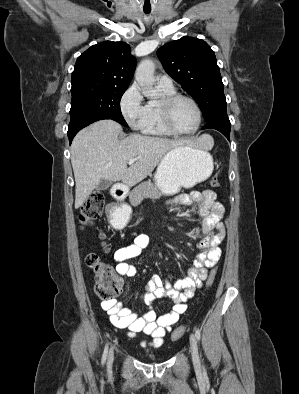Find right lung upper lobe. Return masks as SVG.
<instances>
[{
	"mask_svg": "<svg viewBox=\"0 0 299 394\" xmlns=\"http://www.w3.org/2000/svg\"><path fill=\"white\" fill-rule=\"evenodd\" d=\"M130 51V46L124 42L105 41L91 46L77 58L72 72V87H128L136 67V59Z\"/></svg>",
	"mask_w": 299,
	"mask_h": 394,
	"instance_id": "1",
	"label": "right lung upper lobe"
}]
</instances>
